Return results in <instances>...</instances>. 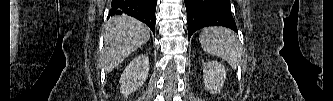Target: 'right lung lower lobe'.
<instances>
[{
  "instance_id": "98d812e1",
  "label": "right lung lower lobe",
  "mask_w": 333,
  "mask_h": 101,
  "mask_svg": "<svg viewBox=\"0 0 333 101\" xmlns=\"http://www.w3.org/2000/svg\"><path fill=\"white\" fill-rule=\"evenodd\" d=\"M156 4L157 0H112L108 17L121 14L135 17L155 33Z\"/></svg>"
}]
</instances>
